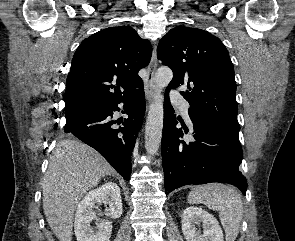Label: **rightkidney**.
I'll list each match as a JSON object with an SVG mask.
<instances>
[{
  "label": "right kidney",
  "mask_w": 295,
  "mask_h": 241,
  "mask_svg": "<svg viewBox=\"0 0 295 241\" xmlns=\"http://www.w3.org/2000/svg\"><path fill=\"white\" fill-rule=\"evenodd\" d=\"M109 205L107 216L117 219L122 215L120 188L114 182H108L88 192L78 204L75 214L74 231L77 241H109L112 223L109 220L97 222V231H93L90 223L96 218L93 208L96 204Z\"/></svg>",
  "instance_id": "right-kidney-1"
}]
</instances>
